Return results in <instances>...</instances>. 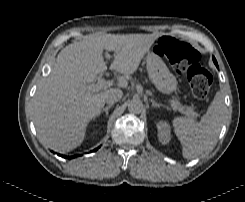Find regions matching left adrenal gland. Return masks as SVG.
Wrapping results in <instances>:
<instances>
[{
    "mask_svg": "<svg viewBox=\"0 0 245 202\" xmlns=\"http://www.w3.org/2000/svg\"><path fill=\"white\" fill-rule=\"evenodd\" d=\"M151 103H152V107H164L166 108L164 105L162 104H158L155 100L151 99Z\"/></svg>",
    "mask_w": 245,
    "mask_h": 202,
    "instance_id": "1",
    "label": "left adrenal gland"
}]
</instances>
